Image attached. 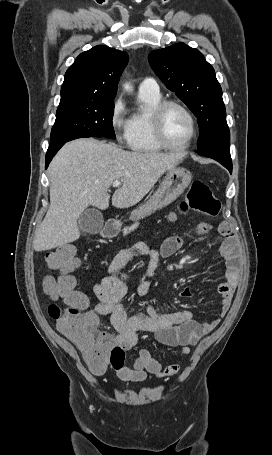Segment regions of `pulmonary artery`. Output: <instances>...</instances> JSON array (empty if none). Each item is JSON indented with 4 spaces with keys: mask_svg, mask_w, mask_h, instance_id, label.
Instances as JSON below:
<instances>
[{
    "mask_svg": "<svg viewBox=\"0 0 272 455\" xmlns=\"http://www.w3.org/2000/svg\"><path fill=\"white\" fill-rule=\"evenodd\" d=\"M139 92L159 93V86L153 78H145L139 85Z\"/></svg>",
    "mask_w": 272,
    "mask_h": 455,
    "instance_id": "obj_1",
    "label": "pulmonary artery"
}]
</instances>
